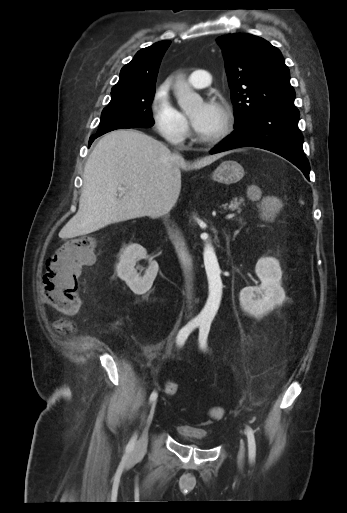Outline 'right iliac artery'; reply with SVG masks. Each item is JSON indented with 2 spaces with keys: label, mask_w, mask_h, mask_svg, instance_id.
I'll return each instance as SVG.
<instances>
[{
  "label": "right iliac artery",
  "mask_w": 347,
  "mask_h": 513,
  "mask_svg": "<svg viewBox=\"0 0 347 513\" xmlns=\"http://www.w3.org/2000/svg\"><path fill=\"white\" fill-rule=\"evenodd\" d=\"M202 323V321L198 318H195L193 319L191 322H189L187 325H185L180 331L179 333L177 334V337H176V343L177 345H179L180 347L184 345L185 341L187 340L188 336L190 335V333L193 331V329H195L196 327H198L200 324ZM157 398V392L156 391H153L150 395V401H155ZM135 441H136V435H134L129 443L127 444L126 446V451L127 452H131L134 448V445H135Z\"/></svg>",
  "instance_id": "1"
}]
</instances>
